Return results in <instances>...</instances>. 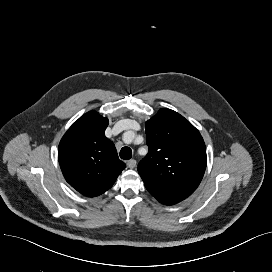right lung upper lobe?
<instances>
[{
  "mask_svg": "<svg viewBox=\"0 0 272 272\" xmlns=\"http://www.w3.org/2000/svg\"><path fill=\"white\" fill-rule=\"evenodd\" d=\"M107 126V118L88 112L69 128L59 144V164L66 181L87 197L110 189L125 168L113 142L105 137Z\"/></svg>",
  "mask_w": 272,
  "mask_h": 272,
  "instance_id": "obj_1",
  "label": "right lung upper lobe"
}]
</instances>
